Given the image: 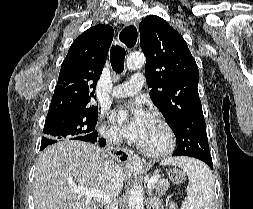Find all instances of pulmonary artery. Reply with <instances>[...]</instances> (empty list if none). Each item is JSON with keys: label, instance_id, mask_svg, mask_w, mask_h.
<instances>
[{"label": "pulmonary artery", "instance_id": "e3ab8cb5", "mask_svg": "<svg viewBox=\"0 0 253 209\" xmlns=\"http://www.w3.org/2000/svg\"><path fill=\"white\" fill-rule=\"evenodd\" d=\"M144 82V75L141 72H137L131 77L130 81L113 87L111 95L118 98L132 96L142 89Z\"/></svg>", "mask_w": 253, "mask_h": 209}]
</instances>
